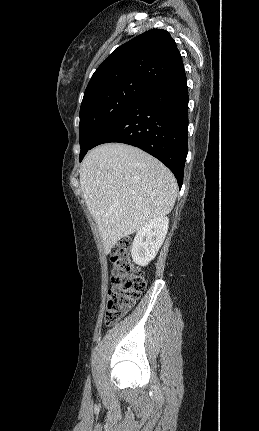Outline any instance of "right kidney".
<instances>
[{
	"instance_id": "ca27d5eb",
	"label": "right kidney",
	"mask_w": 259,
	"mask_h": 431,
	"mask_svg": "<svg viewBox=\"0 0 259 431\" xmlns=\"http://www.w3.org/2000/svg\"><path fill=\"white\" fill-rule=\"evenodd\" d=\"M168 224L169 219L161 216L151 219L138 230L131 250L133 261L136 264L146 266L154 259L163 244Z\"/></svg>"
}]
</instances>
